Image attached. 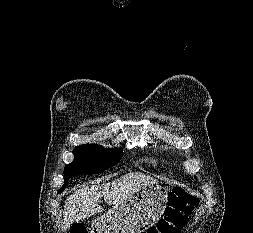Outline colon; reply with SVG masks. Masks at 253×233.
Returning a JSON list of instances; mask_svg holds the SVG:
<instances>
[{
	"label": "colon",
	"instance_id": "5ec220e1",
	"mask_svg": "<svg viewBox=\"0 0 253 233\" xmlns=\"http://www.w3.org/2000/svg\"><path fill=\"white\" fill-rule=\"evenodd\" d=\"M199 199L182 188H173L168 193V203L163 217L145 233H180ZM70 233H88L86 227L74 224Z\"/></svg>",
	"mask_w": 253,
	"mask_h": 233
}]
</instances>
